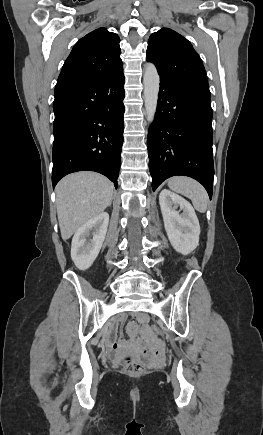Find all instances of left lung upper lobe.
<instances>
[{
    "label": "left lung upper lobe",
    "mask_w": 263,
    "mask_h": 435,
    "mask_svg": "<svg viewBox=\"0 0 263 435\" xmlns=\"http://www.w3.org/2000/svg\"><path fill=\"white\" fill-rule=\"evenodd\" d=\"M146 59L155 64L160 78L209 91L200 56L177 32L162 28L153 33L148 41Z\"/></svg>",
    "instance_id": "obj_1"
}]
</instances>
